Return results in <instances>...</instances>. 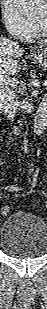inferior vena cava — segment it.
Listing matches in <instances>:
<instances>
[{"label":"inferior vena cava","mask_w":47,"mask_h":309,"mask_svg":"<svg viewBox=\"0 0 47 309\" xmlns=\"http://www.w3.org/2000/svg\"><path fill=\"white\" fill-rule=\"evenodd\" d=\"M17 96L9 87H2L1 108L9 119H13L17 110Z\"/></svg>","instance_id":"1"}]
</instances>
